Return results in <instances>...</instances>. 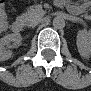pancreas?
I'll return each instance as SVG.
<instances>
[{"mask_svg":"<svg viewBox=\"0 0 91 91\" xmlns=\"http://www.w3.org/2000/svg\"><path fill=\"white\" fill-rule=\"evenodd\" d=\"M41 15H44V12L39 8H30L27 12L23 13L21 15V18H24L26 21V24H30L34 19L40 17ZM86 19H89L90 17L88 15L85 16Z\"/></svg>","mask_w":91,"mask_h":91,"instance_id":"obj_1","label":"pancreas"}]
</instances>
